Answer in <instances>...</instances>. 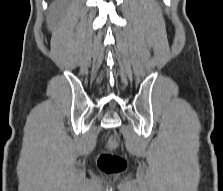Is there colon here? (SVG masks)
I'll return each mask as SVG.
<instances>
[{
  "instance_id": "obj_1",
  "label": "colon",
  "mask_w": 223,
  "mask_h": 191,
  "mask_svg": "<svg viewBox=\"0 0 223 191\" xmlns=\"http://www.w3.org/2000/svg\"><path fill=\"white\" fill-rule=\"evenodd\" d=\"M118 145L117 137L111 136L108 139L105 148L100 152L97 160V165L101 172L105 174H120L126 170V160L114 153Z\"/></svg>"
}]
</instances>
